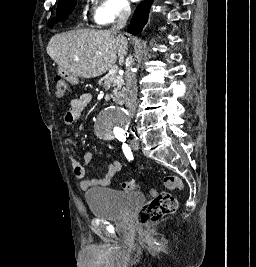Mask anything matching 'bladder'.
<instances>
[{
	"label": "bladder",
	"instance_id": "obj_1",
	"mask_svg": "<svg viewBox=\"0 0 256 267\" xmlns=\"http://www.w3.org/2000/svg\"><path fill=\"white\" fill-rule=\"evenodd\" d=\"M90 213L103 219L121 218L145 203L144 195H122L106 188L91 189L85 194Z\"/></svg>",
	"mask_w": 256,
	"mask_h": 267
}]
</instances>
